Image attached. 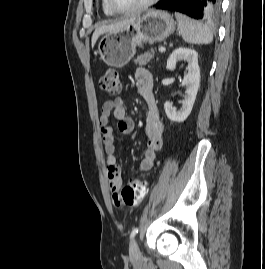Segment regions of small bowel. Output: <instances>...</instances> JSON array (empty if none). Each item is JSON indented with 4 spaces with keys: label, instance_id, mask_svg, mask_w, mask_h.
I'll list each match as a JSON object with an SVG mask.
<instances>
[{
    "label": "small bowel",
    "instance_id": "1",
    "mask_svg": "<svg viewBox=\"0 0 265 269\" xmlns=\"http://www.w3.org/2000/svg\"><path fill=\"white\" fill-rule=\"evenodd\" d=\"M136 88L138 94L147 104L145 118L146 143L142 150L140 171L152 168L156 153L162 148L164 123L159 113L153 91V78L144 68L139 67L135 72ZM113 114L118 121V129L122 134H129L134 128V123L126 114L125 100L121 97L105 101L102 105L99 124L106 152V175L113 202L118 203L119 189L122 184L121 169L117 164L116 137L110 126V116Z\"/></svg>",
    "mask_w": 265,
    "mask_h": 269
}]
</instances>
